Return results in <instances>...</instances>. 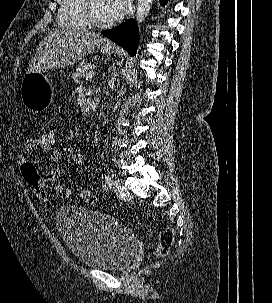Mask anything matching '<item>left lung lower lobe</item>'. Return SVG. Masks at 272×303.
I'll list each match as a JSON object with an SVG mask.
<instances>
[{
  "instance_id": "left-lung-lower-lobe-1",
  "label": "left lung lower lobe",
  "mask_w": 272,
  "mask_h": 303,
  "mask_svg": "<svg viewBox=\"0 0 272 303\" xmlns=\"http://www.w3.org/2000/svg\"><path fill=\"white\" fill-rule=\"evenodd\" d=\"M160 2L164 5L167 0H160ZM102 34L122 46L130 55L136 54L139 35L135 20H127L114 29L103 31Z\"/></svg>"
}]
</instances>
